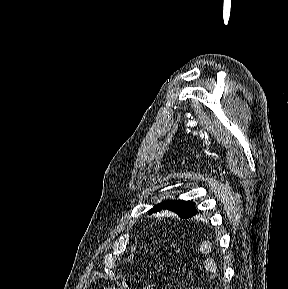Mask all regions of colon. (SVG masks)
<instances>
[{"instance_id": "5ec220e1", "label": "colon", "mask_w": 288, "mask_h": 289, "mask_svg": "<svg viewBox=\"0 0 288 289\" xmlns=\"http://www.w3.org/2000/svg\"><path fill=\"white\" fill-rule=\"evenodd\" d=\"M99 289H130V284L128 282L115 283L111 286L101 287ZM144 289H157L154 285H147Z\"/></svg>"}]
</instances>
